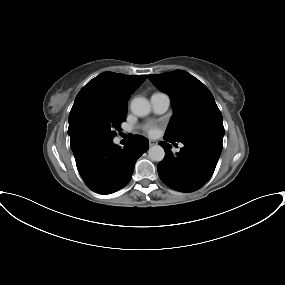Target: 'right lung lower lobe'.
I'll use <instances>...</instances> for the list:
<instances>
[{"label": "right lung lower lobe", "instance_id": "obj_1", "mask_svg": "<svg viewBox=\"0 0 285 285\" xmlns=\"http://www.w3.org/2000/svg\"><path fill=\"white\" fill-rule=\"evenodd\" d=\"M148 140L131 136L124 148L113 140H89L71 146L77 169L85 184L99 194L123 188L131 179L136 160L148 150Z\"/></svg>", "mask_w": 285, "mask_h": 285}]
</instances>
